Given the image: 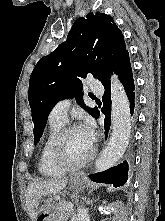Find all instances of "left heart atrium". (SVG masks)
<instances>
[{"mask_svg": "<svg viewBox=\"0 0 165 221\" xmlns=\"http://www.w3.org/2000/svg\"><path fill=\"white\" fill-rule=\"evenodd\" d=\"M80 129L87 139L93 144L95 139V127L92 120L89 118L85 119Z\"/></svg>", "mask_w": 165, "mask_h": 221, "instance_id": "39dd6f15", "label": "left heart atrium"}]
</instances>
